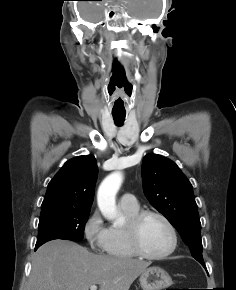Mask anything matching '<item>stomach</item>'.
<instances>
[{
  "instance_id": "stomach-1",
  "label": "stomach",
  "mask_w": 236,
  "mask_h": 290,
  "mask_svg": "<svg viewBox=\"0 0 236 290\" xmlns=\"http://www.w3.org/2000/svg\"><path fill=\"white\" fill-rule=\"evenodd\" d=\"M143 290H163L172 285L170 275L160 267H150L140 274Z\"/></svg>"
}]
</instances>
